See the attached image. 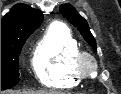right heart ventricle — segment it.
<instances>
[{
	"label": "right heart ventricle",
	"mask_w": 121,
	"mask_h": 94,
	"mask_svg": "<svg viewBox=\"0 0 121 94\" xmlns=\"http://www.w3.org/2000/svg\"><path fill=\"white\" fill-rule=\"evenodd\" d=\"M80 51L78 41L65 24H51L32 54L31 65L36 78L50 88L75 86L80 78L75 71V57Z\"/></svg>",
	"instance_id": "e07e8e85"
}]
</instances>
